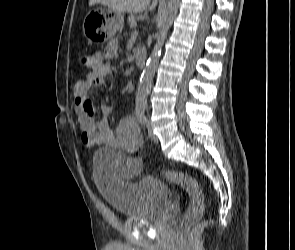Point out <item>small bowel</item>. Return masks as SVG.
I'll list each match as a JSON object with an SVG mask.
<instances>
[{
    "instance_id": "1",
    "label": "small bowel",
    "mask_w": 295,
    "mask_h": 250,
    "mask_svg": "<svg viewBox=\"0 0 295 250\" xmlns=\"http://www.w3.org/2000/svg\"><path fill=\"white\" fill-rule=\"evenodd\" d=\"M117 44L111 42L103 51L92 53L93 62L89 66L91 71L85 79L74 85V102L78 115V124L82 142L87 147L106 145L119 148L123 151L134 152L140 142V132L133 118H127L119 123L114 132L108 123L107 117L111 112L110 106L102 103V117L95 116V106L90 92L98 88L111 74V61L117 55ZM141 170V162L134 157L123 160L121 175L128 177Z\"/></svg>"
}]
</instances>
